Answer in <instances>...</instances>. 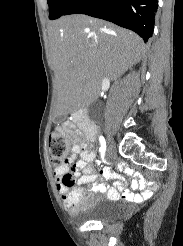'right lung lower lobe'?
Wrapping results in <instances>:
<instances>
[{
	"label": "right lung lower lobe",
	"instance_id": "1",
	"mask_svg": "<svg viewBox=\"0 0 183 246\" xmlns=\"http://www.w3.org/2000/svg\"><path fill=\"white\" fill-rule=\"evenodd\" d=\"M158 0H75L65 12L86 14L133 30L146 43L152 36Z\"/></svg>",
	"mask_w": 183,
	"mask_h": 246
}]
</instances>
